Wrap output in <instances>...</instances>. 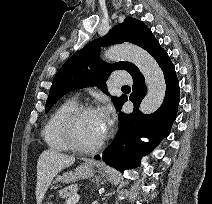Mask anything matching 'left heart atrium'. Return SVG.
Segmentation results:
<instances>
[{
	"label": "left heart atrium",
	"mask_w": 212,
	"mask_h": 204,
	"mask_svg": "<svg viewBox=\"0 0 212 204\" xmlns=\"http://www.w3.org/2000/svg\"><path fill=\"white\" fill-rule=\"evenodd\" d=\"M99 113L103 120L105 129L107 130L112 123L113 110L110 106H105L99 111Z\"/></svg>",
	"instance_id": "39dd6f15"
}]
</instances>
